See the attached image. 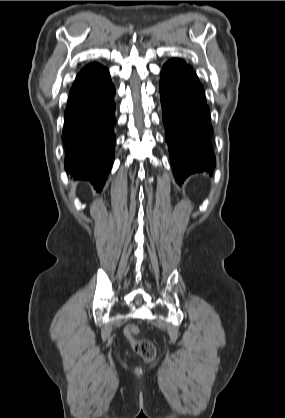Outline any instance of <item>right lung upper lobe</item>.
Returning a JSON list of instances; mask_svg holds the SVG:
<instances>
[{"mask_svg":"<svg viewBox=\"0 0 285 418\" xmlns=\"http://www.w3.org/2000/svg\"><path fill=\"white\" fill-rule=\"evenodd\" d=\"M104 69L105 68L102 65L98 64V63H90V64H88L77 75L76 80H75L72 88H74V87H76V86L84 83L88 79H90L93 76L99 74Z\"/></svg>","mask_w":285,"mask_h":418,"instance_id":"1","label":"right lung upper lobe"}]
</instances>
